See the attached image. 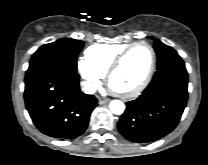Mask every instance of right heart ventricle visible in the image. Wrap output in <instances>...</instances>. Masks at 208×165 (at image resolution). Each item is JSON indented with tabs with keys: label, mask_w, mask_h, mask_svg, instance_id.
I'll return each instance as SVG.
<instances>
[{
	"label": "right heart ventricle",
	"mask_w": 208,
	"mask_h": 165,
	"mask_svg": "<svg viewBox=\"0 0 208 165\" xmlns=\"http://www.w3.org/2000/svg\"><path fill=\"white\" fill-rule=\"evenodd\" d=\"M130 43H97L84 51L86 61L102 76L108 71L116 56Z\"/></svg>",
	"instance_id": "obj_1"
}]
</instances>
